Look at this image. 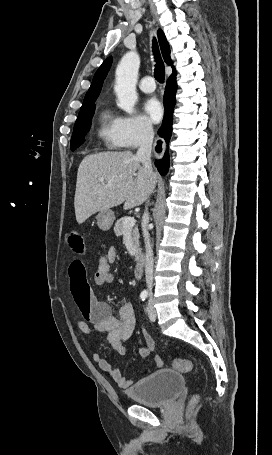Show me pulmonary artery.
Returning <instances> with one entry per match:
<instances>
[{
	"mask_svg": "<svg viewBox=\"0 0 272 455\" xmlns=\"http://www.w3.org/2000/svg\"><path fill=\"white\" fill-rule=\"evenodd\" d=\"M139 88L145 93L153 92L156 88L153 77L146 76V77L142 78L139 83Z\"/></svg>",
	"mask_w": 272,
	"mask_h": 455,
	"instance_id": "obj_1",
	"label": "pulmonary artery"
}]
</instances>
